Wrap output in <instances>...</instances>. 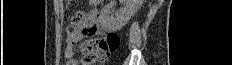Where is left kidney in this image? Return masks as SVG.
<instances>
[{"mask_svg":"<svg viewBox=\"0 0 232 65\" xmlns=\"http://www.w3.org/2000/svg\"><path fill=\"white\" fill-rule=\"evenodd\" d=\"M140 0H125L124 7L113 17L110 15L109 5H105L101 11L100 22L102 28L107 31H117L121 29L137 12Z\"/></svg>","mask_w":232,"mask_h":65,"instance_id":"obj_1","label":"left kidney"}]
</instances>
